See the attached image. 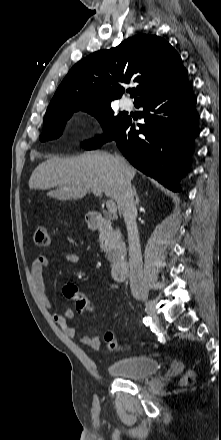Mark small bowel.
<instances>
[{
  "mask_svg": "<svg viewBox=\"0 0 221 440\" xmlns=\"http://www.w3.org/2000/svg\"><path fill=\"white\" fill-rule=\"evenodd\" d=\"M62 260L63 262L68 264L81 263V257L74 253H69L64 255ZM50 265H51V261L47 254L40 253L36 256L31 266V278L34 288L38 296L40 297L41 301L43 302V304L49 310H51V316L53 321L61 328V330L64 332L66 336L70 338H75L77 336V331L74 327L70 326L68 323V320L74 316V311L72 309H67L63 313L54 311L52 303L46 296L43 271L44 269L50 267ZM80 342L84 346H87L92 349H98L101 344L100 337L98 336L91 337V336L83 335L80 337Z\"/></svg>",
  "mask_w": 221,
  "mask_h": 440,
  "instance_id": "1",
  "label": "small bowel"
}]
</instances>
